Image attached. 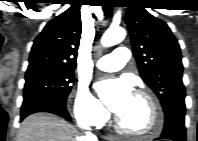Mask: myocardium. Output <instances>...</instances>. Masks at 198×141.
Wrapping results in <instances>:
<instances>
[{"instance_id": "obj_1", "label": "myocardium", "mask_w": 198, "mask_h": 141, "mask_svg": "<svg viewBox=\"0 0 198 141\" xmlns=\"http://www.w3.org/2000/svg\"><path fill=\"white\" fill-rule=\"evenodd\" d=\"M135 95L146 100L150 107V116H151V127L146 131H136L126 127L119 116H116V125L117 128L125 134L134 136V137H150L158 133L161 127V112L157 100L147 91L139 89L135 92Z\"/></svg>"}]
</instances>
